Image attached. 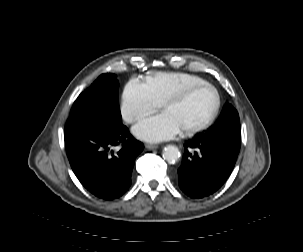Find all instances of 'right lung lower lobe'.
<instances>
[{"mask_svg": "<svg viewBox=\"0 0 303 252\" xmlns=\"http://www.w3.org/2000/svg\"><path fill=\"white\" fill-rule=\"evenodd\" d=\"M65 144L75 175L91 193L111 200L129 189L134 161L143 144L122 123L94 117L68 120ZM117 146L120 149L113 151Z\"/></svg>", "mask_w": 303, "mask_h": 252, "instance_id": "98d812e1", "label": "right lung lower lobe"}]
</instances>
